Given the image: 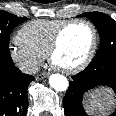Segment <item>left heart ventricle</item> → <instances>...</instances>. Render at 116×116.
I'll list each match as a JSON object with an SVG mask.
<instances>
[{"label": "left heart ventricle", "instance_id": "b2bd125f", "mask_svg": "<svg viewBox=\"0 0 116 116\" xmlns=\"http://www.w3.org/2000/svg\"><path fill=\"white\" fill-rule=\"evenodd\" d=\"M92 42L90 28L81 23L69 26L53 56V62L59 67L70 68L79 64L87 55Z\"/></svg>", "mask_w": 116, "mask_h": 116}]
</instances>
